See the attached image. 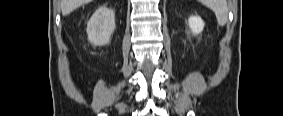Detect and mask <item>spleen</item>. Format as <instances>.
Returning <instances> with one entry per match:
<instances>
[{
	"instance_id": "spleen-1",
	"label": "spleen",
	"mask_w": 283,
	"mask_h": 116,
	"mask_svg": "<svg viewBox=\"0 0 283 116\" xmlns=\"http://www.w3.org/2000/svg\"><path fill=\"white\" fill-rule=\"evenodd\" d=\"M203 4L215 13L218 25L224 26L227 23L228 7L226 0H204Z\"/></svg>"
}]
</instances>
